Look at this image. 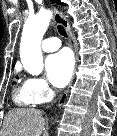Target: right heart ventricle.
Wrapping results in <instances>:
<instances>
[{"label":"right heart ventricle","mask_w":117,"mask_h":136,"mask_svg":"<svg viewBox=\"0 0 117 136\" xmlns=\"http://www.w3.org/2000/svg\"><path fill=\"white\" fill-rule=\"evenodd\" d=\"M13 98L15 103L19 106H31L35 104L27 90L26 83L15 88Z\"/></svg>","instance_id":"obj_1"}]
</instances>
